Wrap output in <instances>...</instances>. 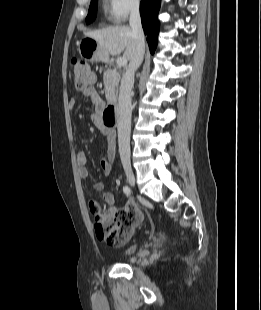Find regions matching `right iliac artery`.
<instances>
[{
    "instance_id": "obj_1",
    "label": "right iliac artery",
    "mask_w": 261,
    "mask_h": 310,
    "mask_svg": "<svg viewBox=\"0 0 261 310\" xmlns=\"http://www.w3.org/2000/svg\"><path fill=\"white\" fill-rule=\"evenodd\" d=\"M123 192L128 196L131 193V189L128 186L123 187Z\"/></svg>"
}]
</instances>
